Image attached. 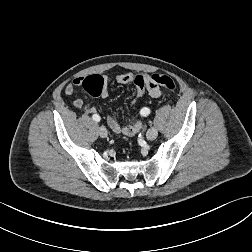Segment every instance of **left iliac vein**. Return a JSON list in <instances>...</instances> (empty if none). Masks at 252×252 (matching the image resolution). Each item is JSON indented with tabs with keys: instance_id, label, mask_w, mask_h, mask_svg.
Returning a JSON list of instances; mask_svg holds the SVG:
<instances>
[{
	"instance_id": "4c4485c4",
	"label": "left iliac vein",
	"mask_w": 252,
	"mask_h": 252,
	"mask_svg": "<svg viewBox=\"0 0 252 252\" xmlns=\"http://www.w3.org/2000/svg\"><path fill=\"white\" fill-rule=\"evenodd\" d=\"M158 136V131L156 128H150L147 133H146V138L149 141H153L156 139V137Z\"/></svg>"
}]
</instances>
